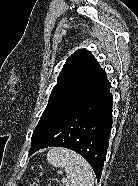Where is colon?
I'll return each instance as SVG.
<instances>
[{"label":"colon","instance_id":"1","mask_svg":"<svg viewBox=\"0 0 138 186\" xmlns=\"http://www.w3.org/2000/svg\"><path fill=\"white\" fill-rule=\"evenodd\" d=\"M29 186H40V182L37 179H33ZM48 186H62L61 183L56 179H50Z\"/></svg>","mask_w":138,"mask_h":186}]
</instances>
